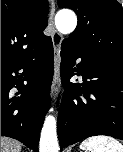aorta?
<instances>
[{
    "mask_svg": "<svg viewBox=\"0 0 123 152\" xmlns=\"http://www.w3.org/2000/svg\"><path fill=\"white\" fill-rule=\"evenodd\" d=\"M55 25L60 33L70 34L76 28L77 17L72 11H59L55 17ZM58 148L56 119L52 115H48L41 131L39 150L40 152H58Z\"/></svg>",
    "mask_w": 123,
    "mask_h": 152,
    "instance_id": "1",
    "label": "aorta"
}]
</instances>
